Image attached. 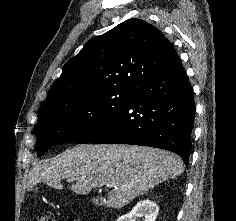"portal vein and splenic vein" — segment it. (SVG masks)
Returning a JSON list of instances; mask_svg holds the SVG:
<instances>
[{
  "label": "portal vein and splenic vein",
  "instance_id": "18ae733b",
  "mask_svg": "<svg viewBox=\"0 0 236 221\" xmlns=\"http://www.w3.org/2000/svg\"><path fill=\"white\" fill-rule=\"evenodd\" d=\"M107 186H108V187H111V188L114 187V185H112V184H108Z\"/></svg>",
  "mask_w": 236,
  "mask_h": 221
}]
</instances>
